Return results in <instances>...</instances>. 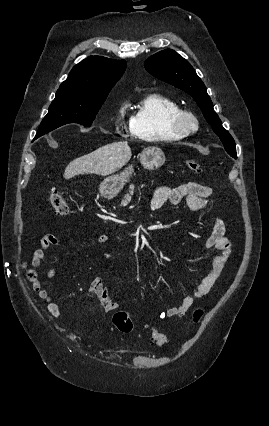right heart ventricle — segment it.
I'll use <instances>...</instances> for the list:
<instances>
[{
  "label": "right heart ventricle",
  "instance_id": "right-heart-ventricle-1",
  "mask_svg": "<svg viewBox=\"0 0 269 426\" xmlns=\"http://www.w3.org/2000/svg\"><path fill=\"white\" fill-rule=\"evenodd\" d=\"M180 107L173 99L159 94L145 95L136 105L131 116V132L146 142L176 141L183 136L173 131L168 123L169 115Z\"/></svg>",
  "mask_w": 269,
  "mask_h": 426
}]
</instances>
